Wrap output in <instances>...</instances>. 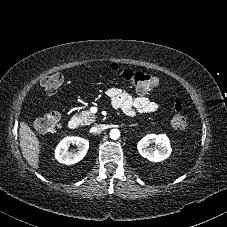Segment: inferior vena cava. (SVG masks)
<instances>
[{
    "label": "inferior vena cava",
    "mask_w": 227,
    "mask_h": 227,
    "mask_svg": "<svg viewBox=\"0 0 227 227\" xmlns=\"http://www.w3.org/2000/svg\"><path fill=\"white\" fill-rule=\"evenodd\" d=\"M104 129H105L104 125L99 124V125L92 127L91 131L93 133H101Z\"/></svg>",
    "instance_id": "1"
}]
</instances>
